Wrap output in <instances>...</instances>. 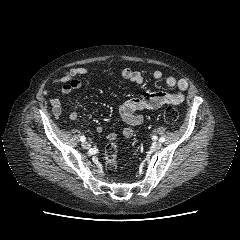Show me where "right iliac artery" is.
Here are the masks:
<instances>
[{"label":"right iliac artery","mask_w":240,"mask_h":240,"mask_svg":"<svg viewBox=\"0 0 240 240\" xmlns=\"http://www.w3.org/2000/svg\"><path fill=\"white\" fill-rule=\"evenodd\" d=\"M80 140H81L82 142H85V141H86V138H85L84 136H81V137H80Z\"/></svg>","instance_id":"82829eb1"}]
</instances>
